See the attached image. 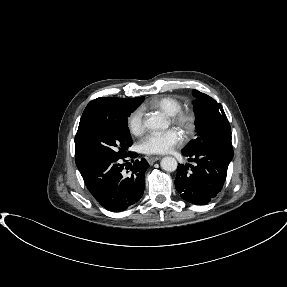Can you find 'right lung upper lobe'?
Segmentation results:
<instances>
[{"label":"right lung upper lobe","mask_w":287,"mask_h":287,"mask_svg":"<svg viewBox=\"0 0 287 287\" xmlns=\"http://www.w3.org/2000/svg\"><path fill=\"white\" fill-rule=\"evenodd\" d=\"M143 100L144 97L133 99L101 97L88 103L80 119L78 131L75 136V161L81 174L90 167L84 164L85 154L83 144L88 131L104 117L127 106H139Z\"/></svg>","instance_id":"cb5924a9"}]
</instances>
